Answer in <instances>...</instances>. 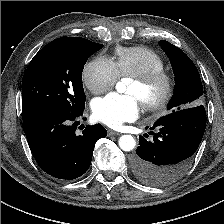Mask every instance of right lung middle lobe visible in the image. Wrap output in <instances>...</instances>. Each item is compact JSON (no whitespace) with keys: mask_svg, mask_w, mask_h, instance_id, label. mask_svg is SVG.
Returning a JSON list of instances; mask_svg holds the SVG:
<instances>
[{"mask_svg":"<svg viewBox=\"0 0 224 224\" xmlns=\"http://www.w3.org/2000/svg\"><path fill=\"white\" fill-rule=\"evenodd\" d=\"M102 47L79 37H61L43 47L22 79V119L47 111L70 113L83 108L82 71L88 57Z\"/></svg>","mask_w":224,"mask_h":224,"instance_id":"dd1d6c3e","label":"right lung middle lobe"}]
</instances>
